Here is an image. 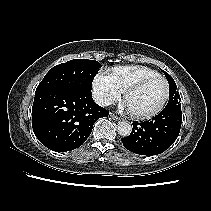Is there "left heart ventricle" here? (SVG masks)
Masks as SVG:
<instances>
[{
  "mask_svg": "<svg viewBox=\"0 0 211 211\" xmlns=\"http://www.w3.org/2000/svg\"><path fill=\"white\" fill-rule=\"evenodd\" d=\"M166 93L164 81L153 80L144 87L131 93L126 100L128 108L136 113H148L156 109Z\"/></svg>",
  "mask_w": 211,
  "mask_h": 211,
  "instance_id": "left-heart-ventricle-1",
  "label": "left heart ventricle"
}]
</instances>
